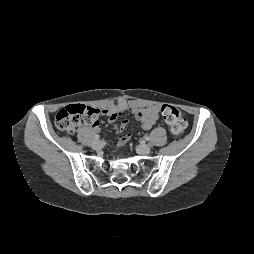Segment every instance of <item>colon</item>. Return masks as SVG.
I'll list each match as a JSON object with an SVG mask.
<instances>
[{"label":"colon","mask_w":254,"mask_h":254,"mask_svg":"<svg viewBox=\"0 0 254 254\" xmlns=\"http://www.w3.org/2000/svg\"><path fill=\"white\" fill-rule=\"evenodd\" d=\"M157 111L175 137H179L185 132L187 121L178 108L163 104L158 106ZM98 118L99 112L97 109L87 105H69L58 111L55 117V125L58 129L71 134L83 124L92 125ZM120 141L122 144L127 142L125 139Z\"/></svg>","instance_id":"1"}]
</instances>
